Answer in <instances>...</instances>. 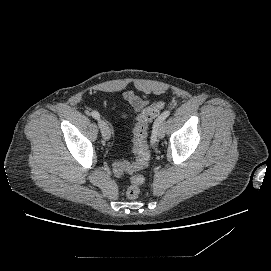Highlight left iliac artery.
Listing matches in <instances>:
<instances>
[{
  "mask_svg": "<svg viewBox=\"0 0 271 271\" xmlns=\"http://www.w3.org/2000/svg\"><path fill=\"white\" fill-rule=\"evenodd\" d=\"M170 115V111H164L154 122L152 134H151V143L154 144L157 141L158 128L160 124Z\"/></svg>",
  "mask_w": 271,
  "mask_h": 271,
  "instance_id": "44dca946",
  "label": "left iliac artery"
}]
</instances>
